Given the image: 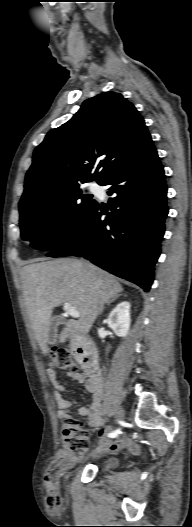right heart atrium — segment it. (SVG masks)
I'll use <instances>...</instances> for the list:
<instances>
[{
  "mask_svg": "<svg viewBox=\"0 0 192 527\" xmlns=\"http://www.w3.org/2000/svg\"><path fill=\"white\" fill-rule=\"evenodd\" d=\"M63 226V221L62 220H58L55 225H54V228L55 230H60Z\"/></svg>",
  "mask_w": 192,
  "mask_h": 527,
  "instance_id": "obj_1",
  "label": "right heart atrium"
}]
</instances>
